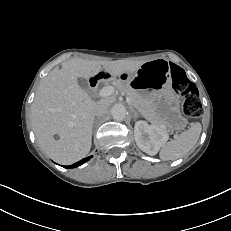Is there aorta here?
I'll use <instances>...</instances> for the list:
<instances>
[{"label":"aorta","mask_w":231,"mask_h":231,"mask_svg":"<svg viewBox=\"0 0 231 231\" xmlns=\"http://www.w3.org/2000/svg\"><path fill=\"white\" fill-rule=\"evenodd\" d=\"M111 115L113 119L117 121H122L127 116V110L122 104H115L111 109Z\"/></svg>","instance_id":"762f6f07"}]
</instances>
